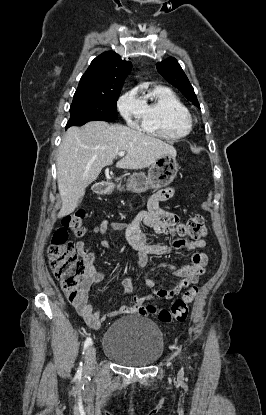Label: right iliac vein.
I'll return each mask as SVG.
<instances>
[{"label":"right iliac vein","instance_id":"obj_1","mask_svg":"<svg viewBox=\"0 0 266 415\" xmlns=\"http://www.w3.org/2000/svg\"><path fill=\"white\" fill-rule=\"evenodd\" d=\"M96 360V350L93 345H91L85 355L84 370L89 371L93 368Z\"/></svg>","mask_w":266,"mask_h":415}]
</instances>
